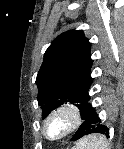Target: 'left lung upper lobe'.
<instances>
[{
	"instance_id": "5c2ea615",
	"label": "left lung upper lobe",
	"mask_w": 124,
	"mask_h": 149,
	"mask_svg": "<svg viewBox=\"0 0 124 149\" xmlns=\"http://www.w3.org/2000/svg\"><path fill=\"white\" fill-rule=\"evenodd\" d=\"M90 50L91 43L82 30L62 33L48 47L36 79L43 118L70 102L79 108L82 119H86L92 82Z\"/></svg>"
}]
</instances>
